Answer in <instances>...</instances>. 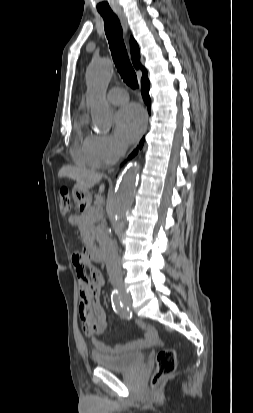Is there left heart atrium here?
I'll return each mask as SVG.
<instances>
[{"mask_svg": "<svg viewBox=\"0 0 253 413\" xmlns=\"http://www.w3.org/2000/svg\"><path fill=\"white\" fill-rule=\"evenodd\" d=\"M145 113L137 104H129L116 114V134L123 143L135 141L145 127Z\"/></svg>", "mask_w": 253, "mask_h": 413, "instance_id": "39dd6f15", "label": "left heart atrium"}]
</instances>
